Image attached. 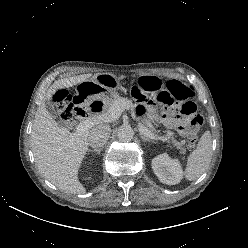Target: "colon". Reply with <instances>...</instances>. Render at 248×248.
<instances>
[{
	"label": "colon",
	"instance_id": "colon-1",
	"mask_svg": "<svg viewBox=\"0 0 248 248\" xmlns=\"http://www.w3.org/2000/svg\"><path fill=\"white\" fill-rule=\"evenodd\" d=\"M133 97L140 103H149L151 101L146 89L140 85L132 88ZM194 96V90L181 80H171L167 82L165 89L160 90L155 99L162 105L171 106L180 103L179 113L187 118L185 122L190 128L188 132V146L195 147L197 142V128L202 124V117L197 113V106L191 100ZM55 105L59 117L65 123H72L76 118L82 116L84 108L82 105L65 93L60 91L55 95Z\"/></svg>",
	"mask_w": 248,
	"mask_h": 248
}]
</instances>
